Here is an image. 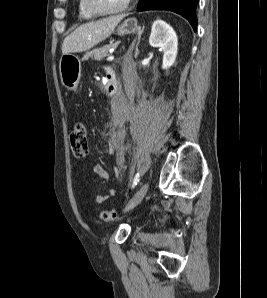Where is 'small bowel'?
Returning a JSON list of instances; mask_svg holds the SVG:
<instances>
[{
  "label": "small bowel",
  "mask_w": 267,
  "mask_h": 298,
  "mask_svg": "<svg viewBox=\"0 0 267 298\" xmlns=\"http://www.w3.org/2000/svg\"><path fill=\"white\" fill-rule=\"evenodd\" d=\"M108 68H110V67H107L106 69L108 70ZM119 105H123V104L119 103ZM92 172L95 175H97V176H99V177H101L103 179H107L108 178L107 171L100 164H94L92 166ZM116 192H117V190L115 188H112V189H110L108 191L107 194H98L96 196V198H95V201L98 204H102V203L106 202L110 197L115 196L116 195Z\"/></svg>",
  "instance_id": "obj_1"
}]
</instances>
